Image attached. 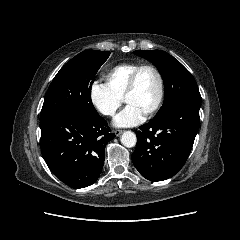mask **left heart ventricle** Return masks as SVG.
Returning <instances> with one entry per match:
<instances>
[{"label":"left heart ventricle","instance_id":"obj_1","mask_svg":"<svg viewBox=\"0 0 240 240\" xmlns=\"http://www.w3.org/2000/svg\"><path fill=\"white\" fill-rule=\"evenodd\" d=\"M157 94V77L152 70L145 69L139 75L136 89L127 96L126 103L145 113L154 104Z\"/></svg>","mask_w":240,"mask_h":240}]
</instances>
